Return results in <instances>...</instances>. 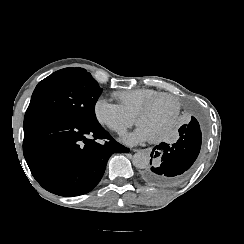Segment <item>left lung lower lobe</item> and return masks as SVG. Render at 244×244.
I'll list each match as a JSON object with an SVG mask.
<instances>
[{"mask_svg":"<svg viewBox=\"0 0 244 244\" xmlns=\"http://www.w3.org/2000/svg\"><path fill=\"white\" fill-rule=\"evenodd\" d=\"M179 134L180 138L175 144L162 142L154 147L151 157L155 158L160 155L159 151H163L162 163L141 171L140 177L144 183L170 189L189 175L201 149L202 134L198 120L192 116L188 124L180 127Z\"/></svg>","mask_w":244,"mask_h":244,"instance_id":"obj_1","label":"left lung lower lobe"}]
</instances>
